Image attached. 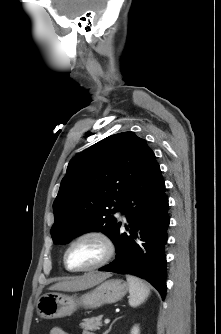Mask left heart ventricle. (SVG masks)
Segmentation results:
<instances>
[{
  "mask_svg": "<svg viewBox=\"0 0 221 334\" xmlns=\"http://www.w3.org/2000/svg\"><path fill=\"white\" fill-rule=\"evenodd\" d=\"M104 255L102 243L88 238L76 243L68 254V263L74 268H83L97 263Z\"/></svg>",
  "mask_w": 221,
  "mask_h": 334,
  "instance_id": "obj_1",
  "label": "left heart ventricle"
}]
</instances>
